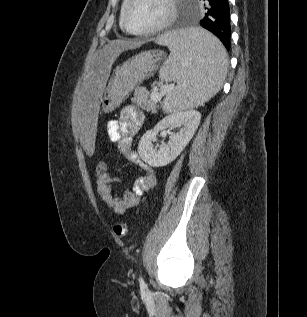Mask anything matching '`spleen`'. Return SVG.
Segmentation results:
<instances>
[{"label":"spleen","mask_w":307,"mask_h":317,"mask_svg":"<svg viewBox=\"0 0 307 317\" xmlns=\"http://www.w3.org/2000/svg\"><path fill=\"white\" fill-rule=\"evenodd\" d=\"M151 43L170 50L159 71L162 81L177 82L166 97L167 113L203 105L220 90L227 75V53L202 26H179L173 33H156Z\"/></svg>","instance_id":"spleen-1"}]
</instances>
